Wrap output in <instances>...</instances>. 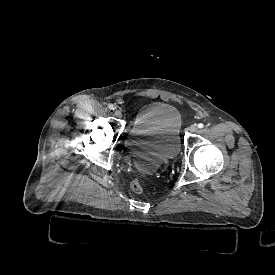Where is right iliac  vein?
I'll return each mask as SVG.
<instances>
[{
  "label": "right iliac vein",
  "instance_id": "obj_1",
  "mask_svg": "<svg viewBox=\"0 0 275 275\" xmlns=\"http://www.w3.org/2000/svg\"><path fill=\"white\" fill-rule=\"evenodd\" d=\"M114 114H115V116H116V117H119V118L122 116L121 111H120V110H118V109H117V110H115Z\"/></svg>",
  "mask_w": 275,
  "mask_h": 275
}]
</instances>
